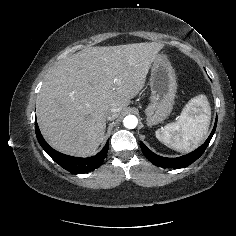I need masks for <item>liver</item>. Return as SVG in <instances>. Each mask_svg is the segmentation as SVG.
Listing matches in <instances>:
<instances>
[{"mask_svg":"<svg viewBox=\"0 0 236 236\" xmlns=\"http://www.w3.org/2000/svg\"><path fill=\"white\" fill-rule=\"evenodd\" d=\"M163 47L157 42L88 47L61 61L37 101L46 141L68 155L93 154L103 141L107 113L117 108L119 116L130 104Z\"/></svg>","mask_w":236,"mask_h":236,"instance_id":"1","label":"liver"}]
</instances>
